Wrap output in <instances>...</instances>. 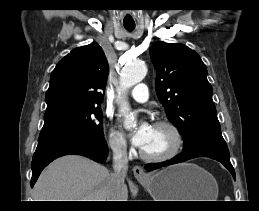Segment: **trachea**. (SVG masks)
<instances>
[{
    "label": "trachea",
    "mask_w": 259,
    "mask_h": 211,
    "mask_svg": "<svg viewBox=\"0 0 259 211\" xmlns=\"http://www.w3.org/2000/svg\"><path fill=\"white\" fill-rule=\"evenodd\" d=\"M135 26H125V28L128 30V31H132L134 29Z\"/></svg>",
    "instance_id": "obj_1"
}]
</instances>
